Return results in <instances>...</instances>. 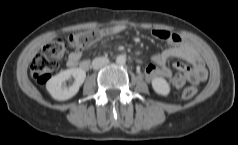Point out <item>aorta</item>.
Wrapping results in <instances>:
<instances>
[{
	"label": "aorta",
	"mask_w": 238,
	"mask_h": 145,
	"mask_svg": "<svg viewBox=\"0 0 238 145\" xmlns=\"http://www.w3.org/2000/svg\"><path fill=\"white\" fill-rule=\"evenodd\" d=\"M116 63L119 65H123L126 63V57L124 55H118L116 58Z\"/></svg>",
	"instance_id": "obj_1"
}]
</instances>
